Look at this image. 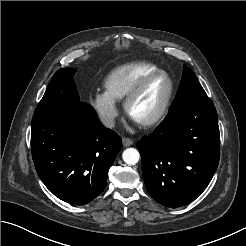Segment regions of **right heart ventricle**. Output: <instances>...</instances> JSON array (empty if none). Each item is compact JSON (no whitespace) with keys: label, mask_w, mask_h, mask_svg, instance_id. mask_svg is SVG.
Returning <instances> with one entry per match:
<instances>
[{"label":"right heart ventricle","mask_w":246,"mask_h":246,"mask_svg":"<svg viewBox=\"0 0 246 246\" xmlns=\"http://www.w3.org/2000/svg\"><path fill=\"white\" fill-rule=\"evenodd\" d=\"M159 70H161L160 67L150 62H131L120 65L105 78V90L115 101H123L144 76Z\"/></svg>","instance_id":"obj_1"}]
</instances>
